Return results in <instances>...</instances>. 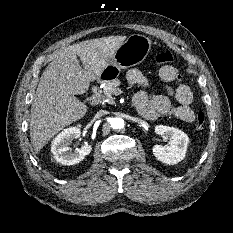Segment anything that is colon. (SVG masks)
Returning <instances> with one entry per match:
<instances>
[{
    "mask_svg": "<svg viewBox=\"0 0 233 233\" xmlns=\"http://www.w3.org/2000/svg\"><path fill=\"white\" fill-rule=\"evenodd\" d=\"M173 56L170 52H162L156 56V62L160 65L159 76L166 83L175 84L180 80L177 69L172 65ZM195 125L197 129H202L206 122V115L203 111L195 115Z\"/></svg>",
    "mask_w": 233,
    "mask_h": 233,
    "instance_id": "5ec220e1",
    "label": "colon"
}]
</instances>
